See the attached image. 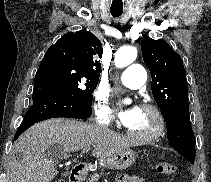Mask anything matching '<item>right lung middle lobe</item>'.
<instances>
[{"mask_svg":"<svg viewBox=\"0 0 211 182\" xmlns=\"http://www.w3.org/2000/svg\"><path fill=\"white\" fill-rule=\"evenodd\" d=\"M37 73L46 75L51 82L70 93L78 102L87 106L92 105V92L99 79L87 77L79 71L56 63L39 66Z\"/></svg>","mask_w":211,"mask_h":182,"instance_id":"right-lung-middle-lobe-1","label":"right lung middle lobe"}]
</instances>
